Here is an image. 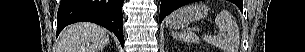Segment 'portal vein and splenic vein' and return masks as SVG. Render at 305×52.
I'll return each mask as SVG.
<instances>
[{"mask_svg": "<svg viewBox=\"0 0 305 52\" xmlns=\"http://www.w3.org/2000/svg\"><path fill=\"white\" fill-rule=\"evenodd\" d=\"M195 31H196V32H199L200 30H199V29H195Z\"/></svg>", "mask_w": 305, "mask_h": 52, "instance_id": "18ae733b", "label": "portal vein and splenic vein"}]
</instances>
